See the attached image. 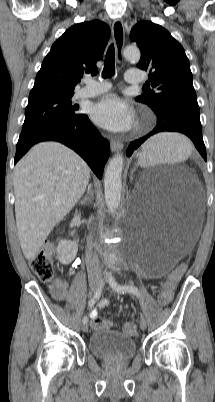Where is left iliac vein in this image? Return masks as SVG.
I'll list each match as a JSON object with an SVG mask.
<instances>
[{
    "mask_svg": "<svg viewBox=\"0 0 215 402\" xmlns=\"http://www.w3.org/2000/svg\"><path fill=\"white\" fill-rule=\"evenodd\" d=\"M140 328L143 331L146 330V328H147V322L144 318H141V320H140Z\"/></svg>",
    "mask_w": 215,
    "mask_h": 402,
    "instance_id": "obj_1",
    "label": "left iliac vein"
}]
</instances>
